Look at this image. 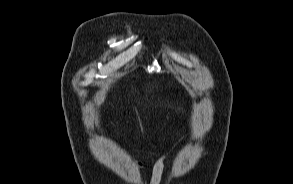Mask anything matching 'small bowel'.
I'll return each instance as SVG.
<instances>
[{
    "instance_id": "c3829d8e",
    "label": "small bowel",
    "mask_w": 293,
    "mask_h": 184,
    "mask_svg": "<svg viewBox=\"0 0 293 184\" xmlns=\"http://www.w3.org/2000/svg\"><path fill=\"white\" fill-rule=\"evenodd\" d=\"M166 160H167V156L163 155L154 162L151 169L150 184L160 183L163 172H164ZM137 167L141 169L142 163L137 162Z\"/></svg>"
}]
</instances>
